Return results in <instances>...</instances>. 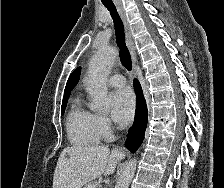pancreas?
Here are the masks:
<instances>
[{"label": "pancreas", "mask_w": 224, "mask_h": 188, "mask_svg": "<svg viewBox=\"0 0 224 188\" xmlns=\"http://www.w3.org/2000/svg\"><path fill=\"white\" fill-rule=\"evenodd\" d=\"M94 184H95L94 182H89L84 186V188H90V186H93Z\"/></svg>", "instance_id": "pancreas-1"}]
</instances>
